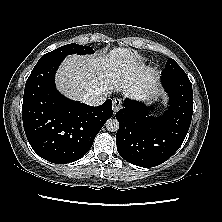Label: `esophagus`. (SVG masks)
I'll return each instance as SVG.
<instances>
[{"label": "esophagus", "mask_w": 222, "mask_h": 222, "mask_svg": "<svg viewBox=\"0 0 222 222\" xmlns=\"http://www.w3.org/2000/svg\"><path fill=\"white\" fill-rule=\"evenodd\" d=\"M112 108H113L114 113H116L118 110H120L122 108L121 100L118 98H115L112 103Z\"/></svg>", "instance_id": "esophagus-1"}]
</instances>
